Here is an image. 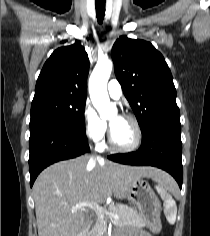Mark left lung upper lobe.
Wrapping results in <instances>:
<instances>
[{
  "mask_svg": "<svg viewBox=\"0 0 210 236\" xmlns=\"http://www.w3.org/2000/svg\"><path fill=\"white\" fill-rule=\"evenodd\" d=\"M111 56L141 131L157 120L180 119L171 71L151 43L122 36L114 43Z\"/></svg>",
  "mask_w": 210,
  "mask_h": 236,
  "instance_id": "left-lung-upper-lobe-1",
  "label": "left lung upper lobe"
}]
</instances>
